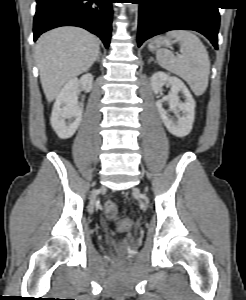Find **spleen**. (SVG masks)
I'll list each match as a JSON object with an SVG mask.
<instances>
[{
    "label": "spleen",
    "mask_w": 246,
    "mask_h": 300,
    "mask_svg": "<svg viewBox=\"0 0 246 300\" xmlns=\"http://www.w3.org/2000/svg\"><path fill=\"white\" fill-rule=\"evenodd\" d=\"M167 36L179 42L181 56L177 57L167 49H159L156 52L158 64L184 79L195 95H202L208 87L210 73V60L204 44L187 30L170 31Z\"/></svg>",
    "instance_id": "spleen-1"
}]
</instances>
